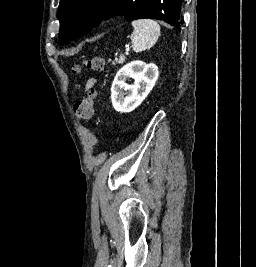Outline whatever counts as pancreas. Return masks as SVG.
<instances>
[{"mask_svg": "<svg viewBox=\"0 0 256 267\" xmlns=\"http://www.w3.org/2000/svg\"><path fill=\"white\" fill-rule=\"evenodd\" d=\"M115 62H117V64H123V62H125V56H120V58H117Z\"/></svg>", "mask_w": 256, "mask_h": 267, "instance_id": "pancreas-1", "label": "pancreas"}]
</instances>
